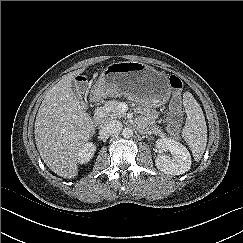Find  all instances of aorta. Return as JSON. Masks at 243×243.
Returning <instances> with one entry per match:
<instances>
[{
  "label": "aorta",
  "instance_id": "obj_1",
  "mask_svg": "<svg viewBox=\"0 0 243 243\" xmlns=\"http://www.w3.org/2000/svg\"><path fill=\"white\" fill-rule=\"evenodd\" d=\"M122 135L124 138H130L133 135V131L130 128H124L122 131Z\"/></svg>",
  "mask_w": 243,
  "mask_h": 243
}]
</instances>
